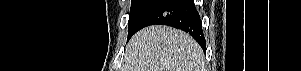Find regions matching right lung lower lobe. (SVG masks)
<instances>
[{
    "instance_id": "obj_1",
    "label": "right lung lower lobe",
    "mask_w": 301,
    "mask_h": 71,
    "mask_svg": "<svg viewBox=\"0 0 301 71\" xmlns=\"http://www.w3.org/2000/svg\"><path fill=\"white\" fill-rule=\"evenodd\" d=\"M154 24L168 25L186 31L203 50L206 49L202 22L193 0H158L145 14L134 33L145 26Z\"/></svg>"
}]
</instances>
